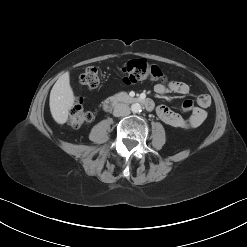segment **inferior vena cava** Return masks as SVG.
I'll use <instances>...</instances> for the list:
<instances>
[{
    "instance_id": "inferior-vena-cava-1",
    "label": "inferior vena cava",
    "mask_w": 247,
    "mask_h": 247,
    "mask_svg": "<svg viewBox=\"0 0 247 247\" xmlns=\"http://www.w3.org/2000/svg\"><path fill=\"white\" fill-rule=\"evenodd\" d=\"M130 114V108L128 105L120 103L118 105H116V107L114 108L113 111V115L115 117H123V116H127Z\"/></svg>"
}]
</instances>
